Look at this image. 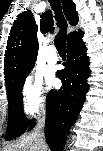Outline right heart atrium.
<instances>
[{
  "label": "right heart atrium",
  "instance_id": "obj_1",
  "mask_svg": "<svg viewBox=\"0 0 103 151\" xmlns=\"http://www.w3.org/2000/svg\"><path fill=\"white\" fill-rule=\"evenodd\" d=\"M44 88L39 76L29 74L23 81L21 88V102L23 112L27 116L35 115L45 105Z\"/></svg>",
  "mask_w": 103,
  "mask_h": 151
}]
</instances>
